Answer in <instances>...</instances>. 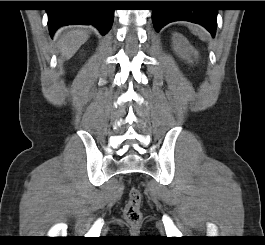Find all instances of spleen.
I'll return each mask as SVG.
<instances>
[{"label":"spleen","instance_id":"3e777b00","mask_svg":"<svg viewBox=\"0 0 265 245\" xmlns=\"http://www.w3.org/2000/svg\"><path fill=\"white\" fill-rule=\"evenodd\" d=\"M191 30L193 34L199 36L201 40L203 41L207 40V33L203 28L194 26V27H191Z\"/></svg>","mask_w":265,"mask_h":245}]
</instances>
